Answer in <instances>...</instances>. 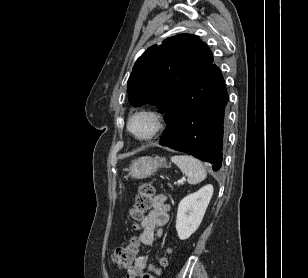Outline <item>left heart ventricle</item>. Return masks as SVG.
<instances>
[{"label": "left heart ventricle", "instance_id": "obj_1", "mask_svg": "<svg viewBox=\"0 0 308 278\" xmlns=\"http://www.w3.org/2000/svg\"><path fill=\"white\" fill-rule=\"evenodd\" d=\"M153 127L152 120L147 116H139L135 118L131 124L132 130L139 136L148 134Z\"/></svg>", "mask_w": 308, "mask_h": 278}]
</instances>
